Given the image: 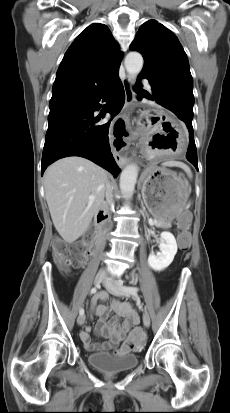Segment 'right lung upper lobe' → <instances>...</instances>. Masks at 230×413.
I'll list each match as a JSON object with an SVG mask.
<instances>
[{
  "mask_svg": "<svg viewBox=\"0 0 230 413\" xmlns=\"http://www.w3.org/2000/svg\"><path fill=\"white\" fill-rule=\"evenodd\" d=\"M122 56L106 25H89L59 65L50 107L86 101L102 92L118 77Z\"/></svg>",
  "mask_w": 230,
  "mask_h": 413,
  "instance_id": "obj_1",
  "label": "right lung upper lobe"
}]
</instances>
